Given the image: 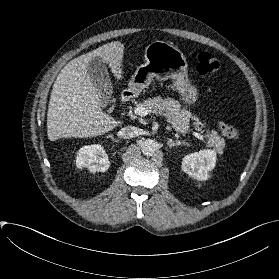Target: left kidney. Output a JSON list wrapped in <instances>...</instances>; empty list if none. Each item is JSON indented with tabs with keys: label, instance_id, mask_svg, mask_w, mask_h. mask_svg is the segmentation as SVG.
I'll return each instance as SVG.
<instances>
[{
	"label": "left kidney",
	"instance_id": "5707ae66",
	"mask_svg": "<svg viewBox=\"0 0 279 279\" xmlns=\"http://www.w3.org/2000/svg\"><path fill=\"white\" fill-rule=\"evenodd\" d=\"M216 152L202 150L186 155L182 159V170L194 179L205 181L209 178L208 172L215 167Z\"/></svg>",
	"mask_w": 279,
	"mask_h": 279
}]
</instances>
